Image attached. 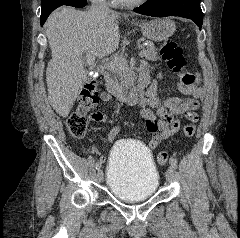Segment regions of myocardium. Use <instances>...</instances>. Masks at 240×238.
<instances>
[{
	"instance_id": "obj_1",
	"label": "myocardium",
	"mask_w": 240,
	"mask_h": 238,
	"mask_svg": "<svg viewBox=\"0 0 240 238\" xmlns=\"http://www.w3.org/2000/svg\"><path fill=\"white\" fill-rule=\"evenodd\" d=\"M116 2L120 6L135 7L147 2V0H131V1L116 0Z\"/></svg>"
}]
</instances>
